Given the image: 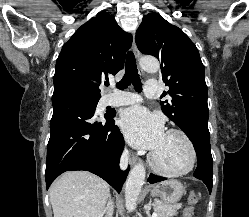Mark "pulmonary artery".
I'll list each match as a JSON object with an SVG mask.
<instances>
[{"label":"pulmonary artery","mask_w":249,"mask_h":217,"mask_svg":"<svg viewBox=\"0 0 249 217\" xmlns=\"http://www.w3.org/2000/svg\"><path fill=\"white\" fill-rule=\"evenodd\" d=\"M159 84L156 81H147L144 85V94L147 98H155L159 95ZM141 100L138 94L131 92H121L112 96L108 104L112 106H122L135 104Z\"/></svg>","instance_id":"e3ab8cb5"}]
</instances>
